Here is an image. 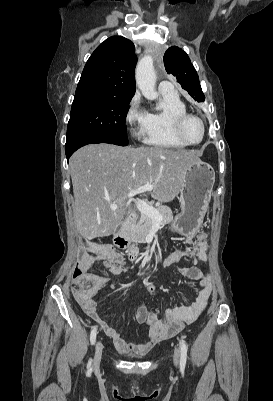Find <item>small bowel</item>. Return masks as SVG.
<instances>
[{
    "label": "small bowel",
    "instance_id": "obj_1",
    "mask_svg": "<svg viewBox=\"0 0 273 401\" xmlns=\"http://www.w3.org/2000/svg\"><path fill=\"white\" fill-rule=\"evenodd\" d=\"M207 238V233H199L191 238L193 241L191 248L175 250L164 259V264L166 265H178L183 277L197 281L199 290L192 303L184 304L178 300L172 303L162 316L151 313L145 305H140L134 313V319L137 323H147L149 325L148 339L143 343H132L122 338L117 329L108 325L101 318L96 301L91 303V293H98L97 287L105 288L108 285V281L104 277L91 274V278H94L93 284H86L84 290H74L73 297L75 302L112 339L118 351L123 353H145L153 342L160 345L163 342V338L171 337L186 325L195 322L207 308L213 292V280L209 272H204L197 266L200 261L206 258ZM81 251H92L93 259L87 261H94L95 265L99 264L113 274H121L126 268L127 262L123 253L110 244L85 242ZM185 261H189L194 265H183Z\"/></svg>",
    "mask_w": 273,
    "mask_h": 401
}]
</instances>
